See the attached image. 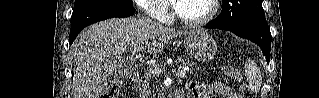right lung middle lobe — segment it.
Returning a JSON list of instances; mask_svg holds the SVG:
<instances>
[{"instance_id": "right-lung-middle-lobe-1", "label": "right lung middle lobe", "mask_w": 319, "mask_h": 98, "mask_svg": "<svg viewBox=\"0 0 319 98\" xmlns=\"http://www.w3.org/2000/svg\"><path fill=\"white\" fill-rule=\"evenodd\" d=\"M99 4H118L133 7L132 0H75L74 9Z\"/></svg>"}]
</instances>
